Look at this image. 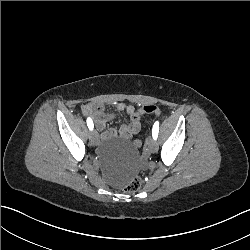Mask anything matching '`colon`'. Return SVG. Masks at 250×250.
<instances>
[{
  "label": "colon",
  "instance_id": "1",
  "mask_svg": "<svg viewBox=\"0 0 250 250\" xmlns=\"http://www.w3.org/2000/svg\"><path fill=\"white\" fill-rule=\"evenodd\" d=\"M144 112L145 113H152L153 112V107L152 106H145L144 107ZM132 119L133 120H138L139 119V114L138 113H133L132 114ZM133 145L136 147V148H139L141 145H142V142L139 140V139H136L134 142H133ZM141 186V179L139 177H134L131 182L127 185V186H122L121 187V192L122 193H133L135 191H137Z\"/></svg>",
  "mask_w": 250,
  "mask_h": 250
}]
</instances>
